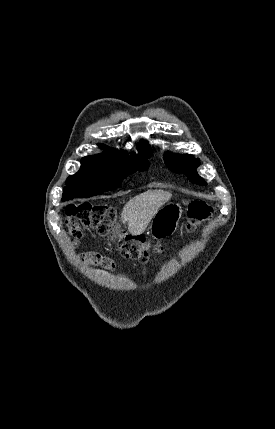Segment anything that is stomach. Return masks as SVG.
Masks as SVG:
<instances>
[{"instance_id": "0dacf381", "label": "stomach", "mask_w": 275, "mask_h": 429, "mask_svg": "<svg viewBox=\"0 0 275 429\" xmlns=\"http://www.w3.org/2000/svg\"><path fill=\"white\" fill-rule=\"evenodd\" d=\"M182 212L181 205L174 203L158 210L149 227L151 236L155 239H162L172 235L177 229Z\"/></svg>"}]
</instances>
